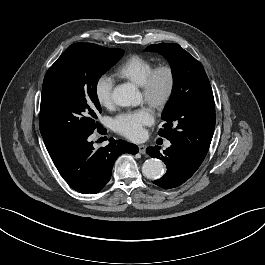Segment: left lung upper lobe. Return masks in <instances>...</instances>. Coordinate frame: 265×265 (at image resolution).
Returning <instances> with one entry per match:
<instances>
[{"mask_svg": "<svg viewBox=\"0 0 265 265\" xmlns=\"http://www.w3.org/2000/svg\"><path fill=\"white\" fill-rule=\"evenodd\" d=\"M145 51L164 55L173 73V92L162 113L166 124L159 135L202 162L215 128L214 97L203 66L178 44L150 45Z\"/></svg>", "mask_w": 265, "mask_h": 265, "instance_id": "5c2ea615", "label": "left lung upper lobe"}]
</instances>
